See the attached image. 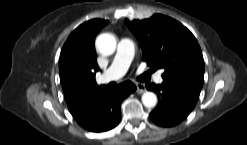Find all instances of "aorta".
Wrapping results in <instances>:
<instances>
[{"label": "aorta", "instance_id": "1", "mask_svg": "<svg viewBox=\"0 0 247 145\" xmlns=\"http://www.w3.org/2000/svg\"><path fill=\"white\" fill-rule=\"evenodd\" d=\"M116 39L112 34L104 33L96 39V48L103 55H111L116 50ZM142 103L147 108H153L157 104V97L153 92H145L142 95Z\"/></svg>", "mask_w": 247, "mask_h": 145}]
</instances>
